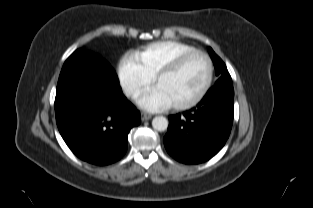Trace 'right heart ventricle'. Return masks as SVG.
Wrapping results in <instances>:
<instances>
[{
  "instance_id": "right-heart-ventricle-1",
  "label": "right heart ventricle",
  "mask_w": 313,
  "mask_h": 208,
  "mask_svg": "<svg viewBox=\"0 0 313 208\" xmlns=\"http://www.w3.org/2000/svg\"><path fill=\"white\" fill-rule=\"evenodd\" d=\"M196 50L191 44L176 40L157 41L148 44L135 56L139 63L152 75L167 66L183 53Z\"/></svg>"
}]
</instances>
